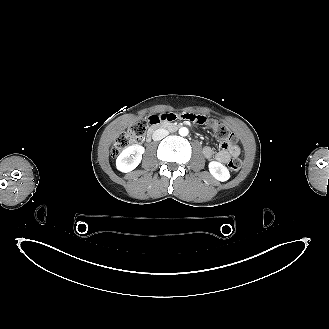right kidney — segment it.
Masks as SVG:
<instances>
[{
    "instance_id": "right-kidney-1",
    "label": "right kidney",
    "mask_w": 329,
    "mask_h": 329,
    "mask_svg": "<svg viewBox=\"0 0 329 329\" xmlns=\"http://www.w3.org/2000/svg\"><path fill=\"white\" fill-rule=\"evenodd\" d=\"M145 149L141 145H132L124 149L116 159L119 171L127 173L134 170L142 160Z\"/></svg>"
}]
</instances>
